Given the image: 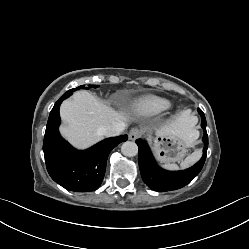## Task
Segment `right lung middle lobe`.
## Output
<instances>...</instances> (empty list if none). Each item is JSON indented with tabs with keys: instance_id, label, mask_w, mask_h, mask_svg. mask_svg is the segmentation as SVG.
I'll list each match as a JSON object with an SVG mask.
<instances>
[{
	"instance_id": "right-lung-middle-lobe-1",
	"label": "right lung middle lobe",
	"mask_w": 249,
	"mask_h": 249,
	"mask_svg": "<svg viewBox=\"0 0 249 249\" xmlns=\"http://www.w3.org/2000/svg\"><path fill=\"white\" fill-rule=\"evenodd\" d=\"M83 87H84V85L79 86V87L74 88V89H70V90H68L66 93H64V94L61 96V98H62V99H66V98H68L70 95H72V93H73L74 91L79 90V89H81V88H83ZM89 87H94V88H96V87H98V86H97V85H89ZM86 89H88V87H86Z\"/></svg>"
}]
</instances>
